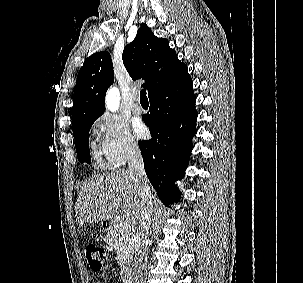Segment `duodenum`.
I'll return each mask as SVG.
<instances>
[{
  "mask_svg": "<svg viewBox=\"0 0 303 283\" xmlns=\"http://www.w3.org/2000/svg\"><path fill=\"white\" fill-rule=\"evenodd\" d=\"M123 276H124L126 283H132L131 271L128 267L123 268Z\"/></svg>",
  "mask_w": 303,
  "mask_h": 283,
  "instance_id": "410a0bca",
  "label": "duodenum"
}]
</instances>
